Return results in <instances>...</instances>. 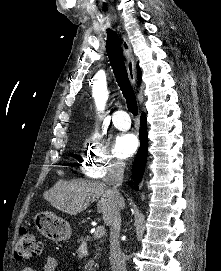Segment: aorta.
Masks as SVG:
<instances>
[{
  "mask_svg": "<svg viewBox=\"0 0 221 271\" xmlns=\"http://www.w3.org/2000/svg\"><path fill=\"white\" fill-rule=\"evenodd\" d=\"M106 100H107L106 95H102V96L98 97L97 102H96L98 110H100V111L104 110V107H105V104H106Z\"/></svg>",
  "mask_w": 221,
  "mask_h": 271,
  "instance_id": "obj_1",
  "label": "aorta"
}]
</instances>
